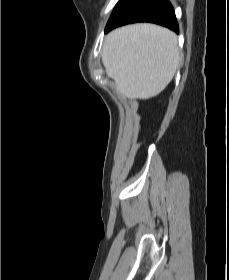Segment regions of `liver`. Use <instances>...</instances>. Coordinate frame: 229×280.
<instances>
[{"label":"liver","mask_w":229,"mask_h":280,"mask_svg":"<svg viewBox=\"0 0 229 280\" xmlns=\"http://www.w3.org/2000/svg\"><path fill=\"white\" fill-rule=\"evenodd\" d=\"M102 62L117 92L132 99H149L162 92L179 64L177 35L169 29L141 23L110 32Z\"/></svg>","instance_id":"1"}]
</instances>
